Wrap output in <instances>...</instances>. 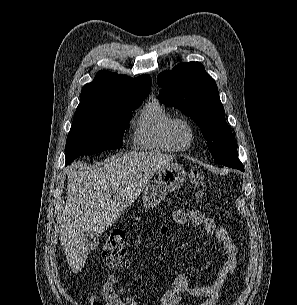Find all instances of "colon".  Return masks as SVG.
I'll return each mask as SVG.
<instances>
[{
    "label": "colon",
    "instance_id": "obj_1",
    "mask_svg": "<svg viewBox=\"0 0 297 305\" xmlns=\"http://www.w3.org/2000/svg\"><path fill=\"white\" fill-rule=\"evenodd\" d=\"M189 182L198 190V199L203 198L202 189L205 186L204 172L200 168H194L189 174ZM126 235L123 231H113L107 238L103 250L102 259L106 266L117 267L127 261Z\"/></svg>",
    "mask_w": 297,
    "mask_h": 305
}]
</instances>
